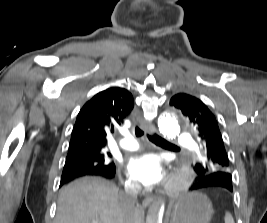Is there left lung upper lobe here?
<instances>
[{
	"label": "left lung upper lobe",
	"instance_id": "left-lung-upper-lobe-1",
	"mask_svg": "<svg viewBox=\"0 0 267 223\" xmlns=\"http://www.w3.org/2000/svg\"><path fill=\"white\" fill-rule=\"evenodd\" d=\"M197 132L203 147L201 157L193 164L196 173H230V163L214 114L198 98L179 93L170 100ZM233 190V189H232Z\"/></svg>",
	"mask_w": 267,
	"mask_h": 223
}]
</instances>
